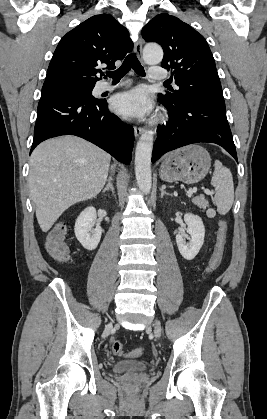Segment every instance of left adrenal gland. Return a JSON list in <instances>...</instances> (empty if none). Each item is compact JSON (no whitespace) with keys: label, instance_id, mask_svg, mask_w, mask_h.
I'll return each mask as SVG.
<instances>
[{"label":"left adrenal gland","instance_id":"1","mask_svg":"<svg viewBox=\"0 0 267 419\" xmlns=\"http://www.w3.org/2000/svg\"><path fill=\"white\" fill-rule=\"evenodd\" d=\"M160 191H161V195H160L161 198H163L164 195H171V194L167 193L163 188H160Z\"/></svg>","mask_w":267,"mask_h":419}]
</instances>
